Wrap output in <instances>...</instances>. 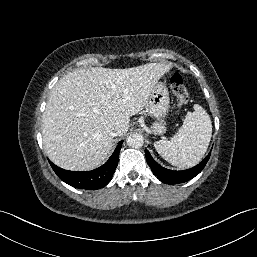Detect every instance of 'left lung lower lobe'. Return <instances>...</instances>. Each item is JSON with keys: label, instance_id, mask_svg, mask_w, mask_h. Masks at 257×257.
Masks as SVG:
<instances>
[{"label": "left lung lower lobe", "instance_id": "0a47b994", "mask_svg": "<svg viewBox=\"0 0 257 257\" xmlns=\"http://www.w3.org/2000/svg\"><path fill=\"white\" fill-rule=\"evenodd\" d=\"M146 159L148 165L150 166L151 170L155 174V176L163 183L166 184H179L186 181L191 180L195 176H197L207 164L210 153L195 167L183 170V171H173L160 166L150 155V153L145 150Z\"/></svg>", "mask_w": 257, "mask_h": 257}]
</instances>
